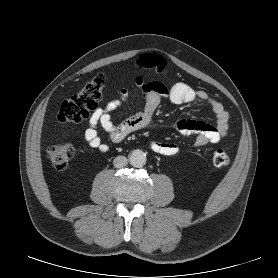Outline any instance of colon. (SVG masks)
I'll use <instances>...</instances> for the list:
<instances>
[{
  "label": "colon",
  "mask_w": 278,
  "mask_h": 278,
  "mask_svg": "<svg viewBox=\"0 0 278 278\" xmlns=\"http://www.w3.org/2000/svg\"><path fill=\"white\" fill-rule=\"evenodd\" d=\"M139 63L157 73H164L166 69V60L155 53L144 54ZM104 82V76L98 74L86 84L81 92L65 100L58 111L59 121L78 123L87 119L97 108ZM46 155L55 168L64 169L74 156V147L68 142L53 144L47 148ZM212 162L215 166L224 167L229 165L230 157L223 149H216L212 154Z\"/></svg>",
  "instance_id": "colon-1"
}]
</instances>
